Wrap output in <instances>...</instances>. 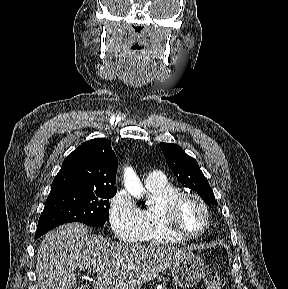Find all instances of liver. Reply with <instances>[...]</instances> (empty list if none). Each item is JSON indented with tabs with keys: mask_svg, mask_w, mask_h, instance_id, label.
Instances as JSON below:
<instances>
[{
	"mask_svg": "<svg viewBox=\"0 0 288 289\" xmlns=\"http://www.w3.org/2000/svg\"><path fill=\"white\" fill-rule=\"evenodd\" d=\"M190 252L154 244L127 245L89 236L87 226L68 223L48 232L37 254L40 289H82L75 270L97 273L104 289H140Z\"/></svg>",
	"mask_w": 288,
	"mask_h": 289,
	"instance_id": "1",
	"label": "liver"
}]
</instances>
